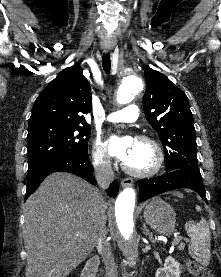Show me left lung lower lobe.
<instances>
[{
  "label": "left lung lower lobe",
  "mask_w": 221,
  "mask_h": 277,
  "mask_svg": "<svg viewBox=\"0 0 221 277\" xmlns=\"http://www.w3.org/2000/svg\"><path fill=\"white\" fill-rule=\"evenodd\" d=\"M140 199L145 200L161 193L189 188L196 191L207 202L202 177L189 173L187 170H174L151 179L139 181Z\"/></svg>",
  "instance_id": "1"
}]
</instances>
